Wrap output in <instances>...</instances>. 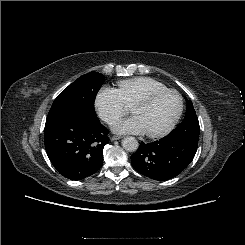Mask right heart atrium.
I'll return each mask as SVG.
<instances>
[{"mask_svg":"<svg viewBox=\"0 0 245 245\" xmlns=\"http://www.w3.org/2000/svg\"><path fill=\"white\" fill-rule=\"evenodd\" d=\"M94 105L99 117L108 124L114 123L128 112V107L117 90L110 87H102L98 91Z\"/></svg>","mask_w":245,"mask_h":245,"instance_id":"1","label":"right heart atrium"}]
</instances>
